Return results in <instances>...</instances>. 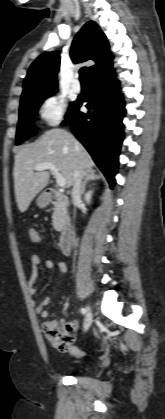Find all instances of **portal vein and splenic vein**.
I'll return each mask as SVG.
<instances>
[{
  "instance_id": "18ae733b",
  "label": "portal vein and splenic vein",
  "mask_w": 165,
  "mask_h": 419,
  "mask_svg": "<svg viewBox=\"0 0 165 419\" xmlns=\"http://www.w3.org/2000/svg\"><path fill=\"white\" fill-rule=\"evenodd\" d=\"M46 169L50 170L52 174L55 176L57 185L59 187H64L66 185L65 178L59 173V170L54 164L47 162V163L38 164L34 167L35 171H42Z\"/></svg>"
}]
</instances>
